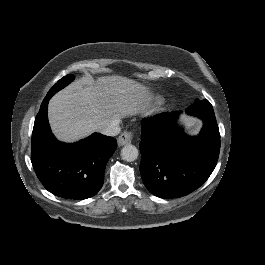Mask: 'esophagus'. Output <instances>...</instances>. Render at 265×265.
<instances>
[{
    "mask_svg": "<svg viewBox=\"0 0 265 265\" xmlns=\"http://www.w3.org/2000/svg\"><path fill=\"white\" fill-rule=\"evenodd\" d=\"M117 142H118V145L119 146H124L126 144H129L131 142V133H129V132H123L118 137Z\"/></svg>",
    "mask_w": 265,
    "mask_h": 265,
    "instance_id": "obj_1",
    "label": "esophagus"
}]
</instances>
